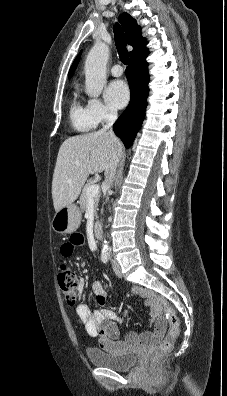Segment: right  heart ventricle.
<instances>
[{
	"label": "right heart ventricle",
	"mask_w": 227,
	"mask_h": 396,
	"mask_svg": "<svg viewBox=\"0 0 227 396\" xmlns=\"http://www.w3.org/2000/svg\"><path fill=\"white\" fill-rule=\"evenodd\" d=\"M69 117L72 127L78 132H89L96 127V123L90 117L87 107L83 106L77 98H74L71 103Z\"/></svg>",
	"instance_id": "right-heart-ventricle-1"
}]
</instances>
